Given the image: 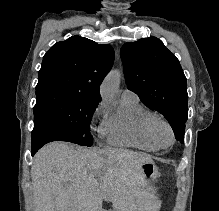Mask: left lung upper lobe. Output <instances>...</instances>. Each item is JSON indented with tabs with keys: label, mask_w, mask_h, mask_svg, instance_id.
Wrapping results in <instances>:
<instances>
[{
	"label": "left lung upper lobe",
	"mask_w": 219,
	"mask_h": 211,
	"mask_svg": "<svg viewBox=\"0 0 219 211\" xmlns=\"http://www.w3.org/2000/svg\"><path fill=\"white\" fill-rule=\"evenodd\" d=\"M128 89L161 113L175 138L184 140L188 117L187 81L177 57L156 37L127 42L120 50Z\"/></svg>",
	"instance_id": "1"
}]
</instances>
